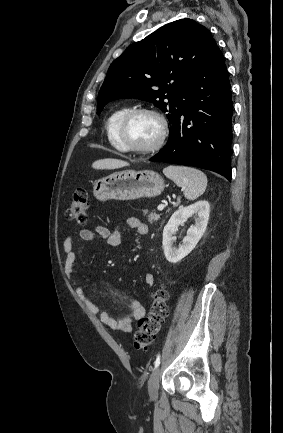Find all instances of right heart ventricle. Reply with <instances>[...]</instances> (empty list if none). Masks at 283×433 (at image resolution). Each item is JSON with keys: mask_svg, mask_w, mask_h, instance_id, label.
<instances>
[{"mask_svg": "<svg viewBox=\"0 0 283 433\" xmlns=\"http://www.w3.org/2000/svg\"><path fill=\"white\" fill-rule=\"evenodd\" d=\"M129 110L130 108L128 107H121L116 109L109 115L105 123V132L107 139L111 146L119 152H124V150L122 149L117 139V128L121 118Z\"/></svg>", "mask_w": 283, "mask_h": 433, "instance_id": "e07e8e85", "label": "right heart ventricle"}]
</instances>
